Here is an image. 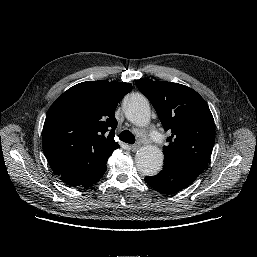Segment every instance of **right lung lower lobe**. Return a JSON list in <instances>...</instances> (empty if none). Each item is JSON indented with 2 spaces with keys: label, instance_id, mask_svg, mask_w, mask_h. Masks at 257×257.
I'll return each instance as SVG.
<instances>
[{
  "label": "right lung lower lobe",
  "instance_id": "98d812e1",
  "mask_svg": "<svg viewBox=\"0 0 257 257\" xmlns=\"http://www.w3.org/2000/svg\"><path fill=\"white\" fill-rule=\"evenodd\" d=\"M106 166L95 176L91 177L89 180H87L85 183L82 184L83 187H89L96 182L99 181V179L103 176L104 172L106 171Z\"/></svg>",
  "mask_w": 257,
  "mask_h": 257
}]
</instances>
